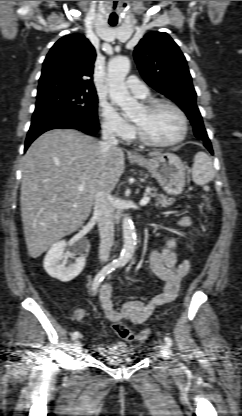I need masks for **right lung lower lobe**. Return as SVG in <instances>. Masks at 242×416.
I'll return each mask as SVG.
<instances>
[{
    "instance_id": "right-lung-lower-lobe-1",
    "label": "right lung lower lobe",
    "mask_w": 242,
    "mask_h": 416,
    "mask_svg": "<svg viewBox=\"0 0 242 416\" xmlns=\"http://www.w3.org/2000/svg\"><path fill=\"white\" fill-rule=\"evenodd\" d=\"M56 128H74L87 134H93L99 129V123H85L71 117L60 115H45L32 121L25 141V151L29 145L42 133Z\"/></svg>"
}]
</instances>
